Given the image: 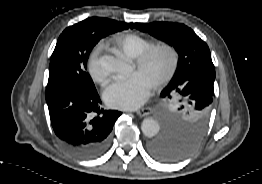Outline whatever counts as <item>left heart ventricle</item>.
<instances>
[{
    "label": "left heart ventricle",
    "instance_id": "left-heart-ventricle-1",
    "mask_svg": "<svg viewBox=\"0 0 262 184\" xmlns=\"http://www.w3.org/2000/svg\"><path fill=\"white\" fill-rule=\"evenodd\" d=\"M170 63V54L165 50H159L152 55L142 69H138L135 65L133 71L141 73L151 84H153L168 70Z\"/></svg>",
    "mask_w": 262,
    "mask_h": 184
}]
</instances>
